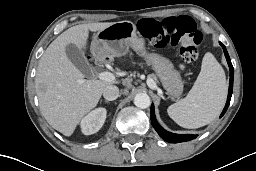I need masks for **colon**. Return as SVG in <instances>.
<instances>
[{
    "label": "colon",
    "mask_w": 256,
    "mask_h": 171,
    "mask_svg": "<svg viewBox=\"0 0 256 171\" xmlns=\"http://www.w3.org/2000/svg\"><path fill=\"white\" fill-rule=\"evenodd\" d=\"M138 30L156 47L178 46L184 63H190L197 58L203 42V34L188 16L167 17L161 20L143 18L138 22Z\"/></svg>",
    "instance_id": "obj_1"
}]
</instances>
